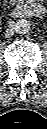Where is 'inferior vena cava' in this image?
<instances>
[{
    "label": "inferior vena cava",
    "mask_w": 47,
    "mask_h": 129,
    "mask_svg": "<svg viewBox=\"0 0 47 129\" xmlns=\"http://www.w3.org/2000/svg\"><path fill=\"white\" fill-rule=\"evenodd\" d=\"M14 34V29L13 28H9L6 30L5 36L6 37H10Z\"/></svg>",
    "instance_id": "1"
}]
</instances>
